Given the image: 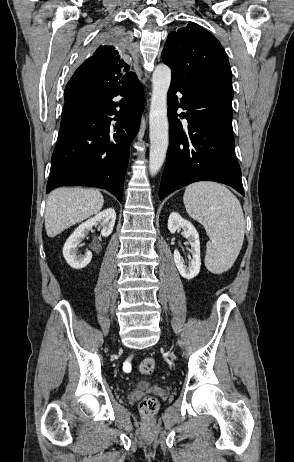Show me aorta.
<instances>
[{"label": "aorta", "instance_id": "762f6f07", "mask_svg": "<svg viewBox=\"0 0 294 462\" xmlns=\"http://www.w3.org/2000/svg\"><path fill=\"white\" fill-rule=\"evenodd\" d=\"M171 83V70L167 65L156 66L152 76V96L149 114L150 153L149 171L152 176L161 169L169 145L167 93Z\"/></svg>", "mask_w": 294, "mask_h": 462}]
</instances>
